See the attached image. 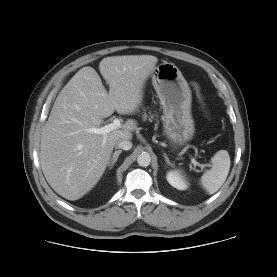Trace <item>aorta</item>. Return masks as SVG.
Masks as SVG:
<instances>
[{"label":"aorta","instance_id":"aorta-1","mask_svg":"<svg viewBox=\"0 0 277 277\" xmlns=\"http://www.w3.org/2000/svg\"><path fill=\"white\" fill-rule=\"evenodd\" d=\"M151 162V157L150 154L147 152H142L138 157H137V163L141 167H147L150 165Z\"/></svg>","mask_w":277,"mask_h":277}]
</instances>
